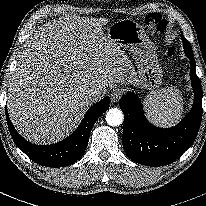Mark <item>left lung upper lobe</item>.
Listing matches in <instances>:
<instances>
[{
    "label": "left lung upper lobe",
    "instance_id": "5c2ea615",
    "mask_svg": "<svg viewBox=\"0 0 206 206\" xmlns=\"http://www.w3.org/2000/svg\"><path fill=\"white\" fill-rule=\"evenodd\" d=\"M183 43H184V47H185V48H187V49H189V50H192V49H191V46H190V43L187 41V39L184 40Z\"/></svg>",
    "mask_w": 206,
    "mask_h": 206
}]
</instances>
